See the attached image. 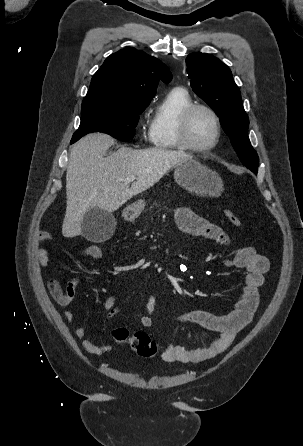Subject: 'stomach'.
I'll return each mask as SVG.
<instances>
[{
    "mask_svg": "<svg viewBox=\"0 0 303 446\" xmlns=\"http://www.w3.org/2000/svg\"><path fill=\"white\" fill-rule=\"evenodd\" d=\"M174 179L181 187L199 196L218 197L223 191V182L218 174L194 159L176 165ZM145 205V200L135 201L124 210V218L133 221L143 212Z\"/></svg>",
    "mask_w": 303,
    "mask_h": 446,
    "instance_id": "1",
    "label": "stomach"
}]
</instances>
